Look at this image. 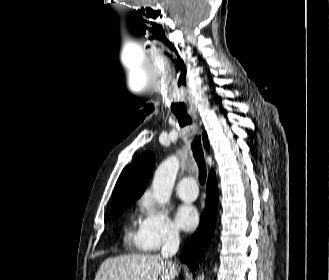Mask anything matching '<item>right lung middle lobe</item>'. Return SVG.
I'll return each mask as SVG.
<instances>
[{
    "mask_svg": "<svg viewBox=\"0 0 329 280\" xmlns=\"http://www.w3.org/2000/svg\"><path fill=\"white\" fill-rule=\"evenodd\" d=\"M134 199H129V200H123L121 202H119L118 204H116L114 207H112L110 209V213L112 214L113 218L119 216L124 209L126 208V206Z\"/></svg>",
    "mask_w": 329,
    "mask_h": 280,
    "instance_id": "right-lung-middle-lobe-1",
    "label": "right lung middle lobe"
}]
</instances>
